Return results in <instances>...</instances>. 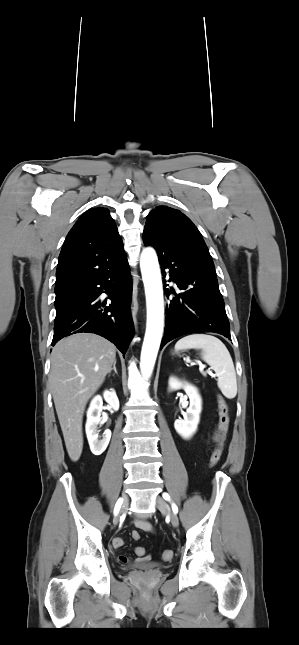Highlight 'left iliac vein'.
Returning <instances> with one entry per match:
<instances>
[{"label": "left iliac vein", "instance_id": "obj_1", "mask_svg": "<svg viewBox=\"0 0 299 645\" xmlns=\"http://www.w3.org/2000/svg\"><path fill=\"white\" fill-rule=\"evenodd\" d=\"M156 506L162 513H165V514L169 515L170 520H171V524L174 527H178V525H179L178 516L176 515V513L172 512L171 510L168 509V506H167L165 500L162 497L157 496V498H156Z\"/></svg>", "mask_w": 299, "mask_h": 645}]
</instances>
